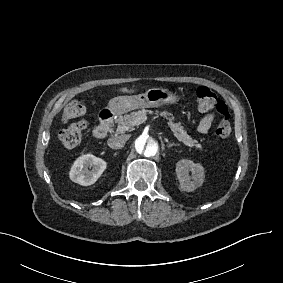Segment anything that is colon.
<instances>
[{
	"label": "colon",
	"instance_id": "1",
	"mask_svg": "<svg viewBox=\"0 0 283 283\" xmlns=\"http://www.w3.org/2000/svg\"><path fill=\"white\" fill-rule=\"evenodd\" d=\"M195 105L201 111L214 110L219 115L215 126L218 139H227L231 134L230 112L225 102L211 89L201 86L195 92ZM86 109L77 99L66 104L62 111V121L69 126L59 132V141L66 148L76 147L87 128Z\"/></svg>",
	"mask_w": 283,
	"mask_h": 283
}]
</instances>
